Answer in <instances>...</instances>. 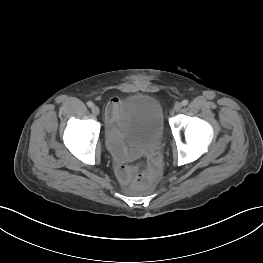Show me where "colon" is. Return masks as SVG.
I'll return each mask as SVG.
<instances>
[{
	"label": "colon",
	"mask_w": 263,
	"mask_h": 263,
	"mask_svg": "<svg viewBox=\"0 0 263 263\" xmlns=\"http://www.w3.org/2000/svg\"><path fill=\"white\" fill-rule=\"evenodd\" d=\"M159 159L157 157L150 160L147 170L137 176L136 182L139 186H150L159 173Z\"/></svg>",
	"instance_id": "colon-1"
}]
</instances>
